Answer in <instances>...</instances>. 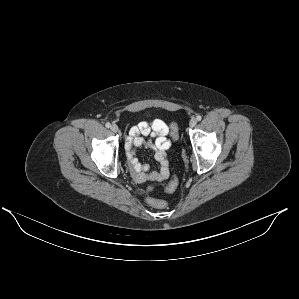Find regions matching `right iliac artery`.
<instances>
[{"label": "right iliac artery", "instance_id": "1", "mask_svg": "<svg viewBox=\"0 0 299 299\" xmlns=\"http://www.w3.org/2000/svg\"><path fill=\"white\" fill-rule=\"evenodd\" d=\"M105 126H106L107 128H110L111 124H110L109 122H107V123L105 124Z\"/></svg>", "mask_w": 299, "mask_h": 299}]
</instances>
